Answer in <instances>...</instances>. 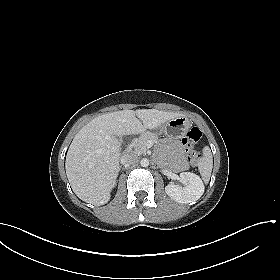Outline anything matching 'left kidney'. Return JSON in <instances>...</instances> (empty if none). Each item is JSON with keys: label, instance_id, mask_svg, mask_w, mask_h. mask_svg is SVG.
<instances>
[{"label": "left kidney", "instance_id": "obj_1", "mask_svg": "<svg viewBox=\"0 0 280 280\" xmlns=\"http://www.w3.org/2000/svg\"><path fill=\"white\" fill-rule=\"evenodd\" d=\"M180 181L184 187L172 183L165 187L166 194L176 202L185 204L195 202L203 195L204 184L198 175L183 172L180 173Z\"/></svg>", "mask_w": 280, "mask_h": 280}]
</instances>
